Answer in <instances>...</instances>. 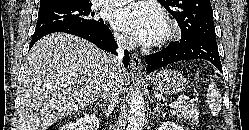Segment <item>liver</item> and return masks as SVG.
Masks as SVG:
<instances>
[{
	"label": "liver",
	"mask_w": 249,
	"mask_h": 130,
	"mask_svg": "<svg viewBox=\"0 0 249 130\" xmlns=\"http://www.w3.org/2000/svg\"><path fill=\"white\" fill-rule=\"evenodd\" d=\"M111 56L85 39L54 33L27 56L22 77L20 130H48L63 116L97 101L111 74ZM127 74L118 75L125 89Z\"/></svg>",
	"instance_id": "6515ba94"
}]
</instances>
